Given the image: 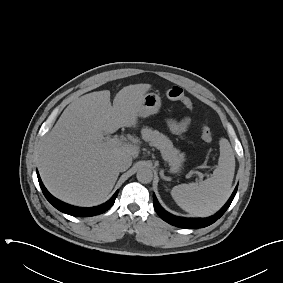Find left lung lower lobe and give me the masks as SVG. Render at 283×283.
I'll use <instances>...</instances> for the list:
<instances>
[{
	"label": "left lung lower lobe",
	"mask_w": 283,
	"mask_h": 283,
	"mask_svg": "<svg viewBox=\"0 0 283 283\" xmlns=\"http://www.w3.org/2000/svg\"><path fill=\"white\" fill-rule=\"evenodd\" d=\"M237 186L232 193L230 199L227 201V203L223 206V208L217 212L215 215L208 217V218H181L174 216L167 211H165L160 204L158 203L156 196L153 195V204L154 209L157 212V214L166 222L170 223L171 225L180 227V228H203L206 226H209L213 224L215 221H217L227 210V208L230 206L231 202L233 201L235 194L237 192Z\"/></svg>",
	"instance_id": "1"
}]
</instances>
